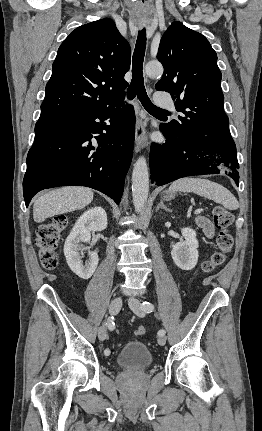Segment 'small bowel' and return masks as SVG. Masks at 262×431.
Returning a JSON list of instances; mask_svg holds the SVG:
<instances>
[{"label":"small bowel","instance_id":"small-bowel-1","mask_svg":"<svg viewBox=\"0 0 262 431\" xmlns=\"http://www.w3.org/2000/svg\"><path fill=\"white\" fill-rule=\"evenodd\" d=\"M198 225L208 238L212 239L214 237L215 227L210 219L206 217H199Z\"/></svg>","mask_w":262,"mask_h":431}]
</instances>
